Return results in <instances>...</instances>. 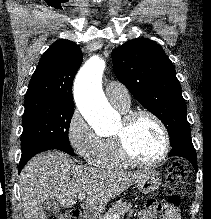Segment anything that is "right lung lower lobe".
<instances>
[{
  "label": "right lung lower lobe",
  "mask_w": 211,
  "mask_h": 219,
  "mask_svg": "<svg viewBox=\"0 0 211 219\" xmlns=\"http://www.w3.org/2000/svg\"><path fill=\"white\" fill-rule=\"evenodd\" d=\"M51 148H43V149H39L36 150L30 154H27L25 156H21L20 162H19V166H18V173L21 172L22 168L24 167V165L36 154L42 152V151H46V150H50Z\"/></svg>",
  "instance_id": "98d812e1"
}]
</instances>
